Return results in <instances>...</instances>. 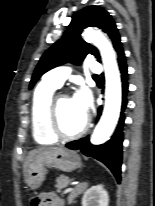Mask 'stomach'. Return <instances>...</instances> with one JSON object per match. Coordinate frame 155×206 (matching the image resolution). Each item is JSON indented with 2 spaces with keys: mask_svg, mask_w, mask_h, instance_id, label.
Segmentation results:
<instances>
[{
  "mask_svg": "<svg viewBox=\"0 0 155 206\" xmlns=\"http://www.w3.org/2000/svg\"><path fill=\"white\" fill-rule=\"evenodd\" d=\"M81 165L80 156L66 148L43 151L32 158L25 174V182L31 189H37L44 181L46 167H56L61 171L71 172Z\"/></svg>",
  "mask_w": 155,
  "mask_h": 206,
  "instance_id": "stomach-1",
  "label": "stomach"
}]
</instances>
